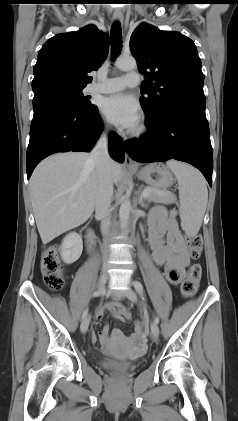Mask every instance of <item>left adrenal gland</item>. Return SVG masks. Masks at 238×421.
Returning a JSON list of instances; mask_svg holds the SVG:
<instances>
[{"instance_id": "a2214340", "label": "left adrenal gland", "mask_w": 238, "mask_h": 421, "mask_svg": "<svg viewBox=\"0 0 238 421\" xmlns=\"http://www.w3.org/2000/svg\"><path fill=\"white\" fill-rule=\"evenodd\" d=\"M139 204H140V206L142 207V208H148V205L147 204H145L144 202H143V200H142V194L140 193V195H139Z\"/></svg>"}]
</instances>
